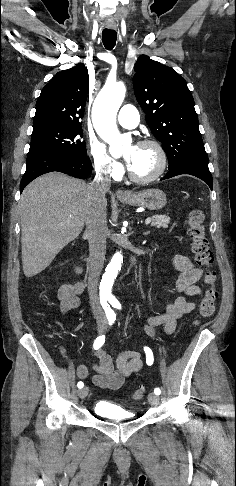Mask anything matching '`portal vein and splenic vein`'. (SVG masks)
Segmentation results:
<instances>
[{
    "label": "portal vein and splenic vein",
    "mask_w": 236,
    "mask_h": 486,
    "mask_svg": "<svg viewBox=\"0 0 236 486\" xmlns=\"http://www.w3.org/2000/svg\"><path fill=\"white\" fill-rule=\"evenodd\" d=\"M150 222H151V219H150V218H147V219L145 220V224H146V225H148Z\"/></svg>",
    "instance_id": "18ae733b"
}]
</instances>
